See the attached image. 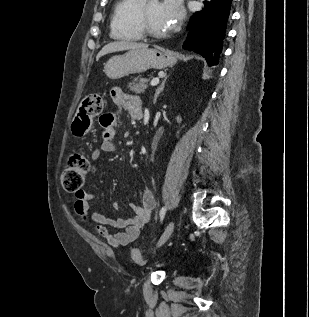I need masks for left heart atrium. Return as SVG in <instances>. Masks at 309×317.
Instances as JSON below:
<instances>
[{
	"mask_svg": "<svg viewBox=\"0 0 309 317\" xmlns=\"http://www.w3.org/2000/svg\"><path fill=\"white\" fill-rule=\"evenodd\" d=\"M161 12L168 28H175L184 17L182 0H164L161 3Z\"/></svg>",
	"mask_w": 309,
	"mask_h": 317,
	"instance_id": "1",
	"label": "left heart atrium"
}]
</instances>
